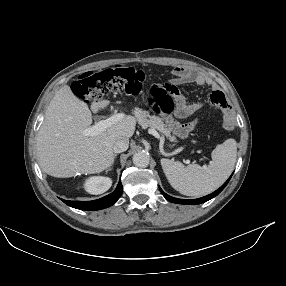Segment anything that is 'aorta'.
<instances>
[{
    "instance_id": "aorta-1",
    "label": "aorta",
    "mask_w": 286,
    "mask_h": 286,
    "mask_svg": "<svg viewBox=\"0 0 286 286\" xmlns=\"http://www.w3.org/2000/svg\"><path fill=\"white\" fill-rule=\"evenodd\" d=\"M150 157L145 151H138L133 155V163L135 166L145 168L149 165Z\"/></svg>"
}]
</instances>
